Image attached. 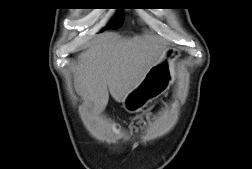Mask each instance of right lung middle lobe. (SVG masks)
Wrapping results in <instances>:
<instances>
[{
    "label": "right lung middle lobe",
    "mask_w": 252,
    "mask_h": 169,
    "mask_svg": "<svg viewBox=\"0 0 252 169\" xmlns=\"http://www.w3.org/2000/svg\"><path fill=\"white\" fill-rule=\"evenodd\" d=\"M85 1H95V0H85ZM84 4H95L93 2H87ZM124 20V15H123V9H119V11L116 14V17L113 19V21L106 27V29H117L119 28Z\"/></svg>",
    "instance_id": "right-lung-middle-lobe-1"
}]
</instances>
